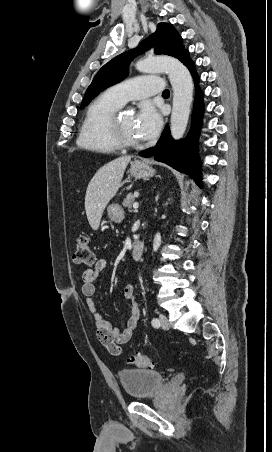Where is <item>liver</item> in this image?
Listing matches in <instances>:
<instances>
[{
  "label": "liver",
  "instance_id": "6515ba94",
  "mask_svg": "<svg viewBox=\"0 0 272 452\" xmlns=\"http://www.w3.org/2000/svg\"><path fill=\"white\" fill-rule=\"evenodd\" d=\"M130 156H121L101 167L88 184L85 195V210L88 222L97 230L106 205L116 195Z\"/></svg>",
  "mask_w": 272,
  "mask_h": 452
}]
</instances>
